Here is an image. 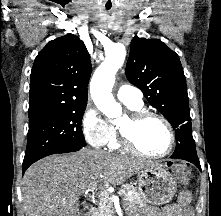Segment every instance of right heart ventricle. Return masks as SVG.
I'll return each instance as SVG.
<instances>
[{
	"instance_id": "obj_1",
	"label": "right heart ventricle",
	"mask_w": 221,
	"mask_h": 216,
	"mask_svg": "<svg viewBox=\"0 0 221 216\" xmlns=\"http://www.w3.org/2000/svg\"><path fill=\"white\" fill-rule=\"evenodd\" d=\"M125 105L130 111H138L143 109V103H137V104L125 103ZM106 144L111 150H118L121 148L118 139L116 123L109 124V137Z\"/></svg>"
}]
</instances>
